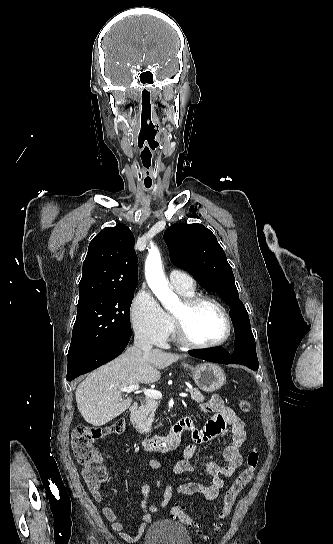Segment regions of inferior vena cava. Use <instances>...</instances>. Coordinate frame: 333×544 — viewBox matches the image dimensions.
Here are the masks:
<instances>
[{"label":"inferior vena cava","mask_w":333,"mask_h":544,"mask_svg":"<svg viewBox=\"0 0 333 544\" xmlns=\"http://www.w3.org/2000/svg\"><path fill=\"white\" fill-rule=\"evenodd\" d=\"M134 347L141 349L144 354L152 350V344L149 337L141 332H136L134 336Z\"/></svg>","instance_id":"602c4592"}]
</instances>
